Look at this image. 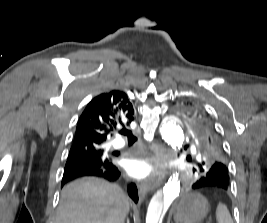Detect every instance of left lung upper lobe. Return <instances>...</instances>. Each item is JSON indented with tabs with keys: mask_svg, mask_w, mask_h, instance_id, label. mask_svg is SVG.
<instances>
[{
	"mask_svg": "<svg viewBox=\"0 0 267 223\" xmlns=\"http://www.w3.org/2000/svg\"><path fill=\"white\" fill-rule=\"evenodd\" d=\"M190 136L200 150L192 162L193 171H228V160L221 139L209 114L199 105L182 101L177 105Z\"/></svg>",
	"mask_w": 267,
	"mask_h": 223,
	"instance_id": "5c2ea615",
	"label": "left lung upper lobe"
}]
</instances>
